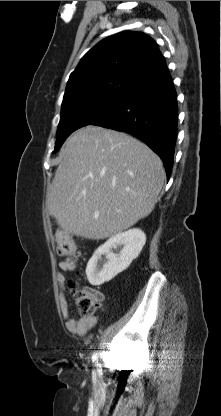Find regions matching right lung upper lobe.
Returning <instances> with one entry per match:
<instances>
[{
  "label": "right lung upper lobe",
  "instance_id": "cb5924a9",
  "mask_svg": "<svg viewBox=\"0 0 221 416\" xmlns=\"http://www.w3.org/2000/svg\"><path fill=\"white\" fill-rule=\"evenodd\" d=\"M168 69L155 41L124 31L109 36L89 50L67 83L63 103L102 89L130 91L163 81Z\"/></svg>",
  "mask_w": 221,
  "mask_h": 416
}]
</instances>
